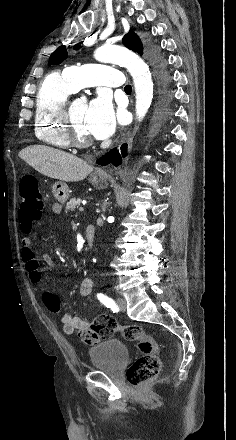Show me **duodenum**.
Returning <instances> with one entry per match:
<instances>
[{"instance_id": "1", "label": "duodenum", "mask_w": 236, "mask_h": 440, "mask_svg": "<svg viewBox=\"0 0 236 440\" xmlns=\"http://www.w3.org/2000/svg\"><path fill=\"white\" fill-rule=\"evenodd\" d=\"M84 234H85V239H86L87 245L91 246L93 244L94 238H95V228H94V226L88 225L85 228Z\"/></svg>"}]
</instances>
